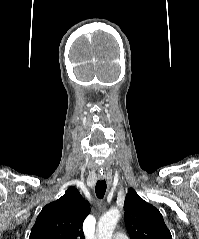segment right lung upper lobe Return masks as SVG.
Here are the masks:
<instances>
[{
  "instance_id": "right-lung-upper-lobe-1",
  "label": "right lung upper lobe",
  "mask_w": 199,
  "mask_h": 239,
  "mask_svg": "<svg viewBox=\"0 0 199 239\" xmlns=\"http://www.w3.org/2000/svg\"><path fill=\"white\" fill-rule=\"evenodd\" d=\"M89 211V202L70 187L61 198L42 209L29 239H84L82 225Z\"/></svg>"
}]
</instances>
